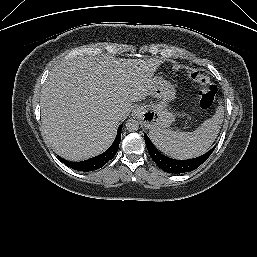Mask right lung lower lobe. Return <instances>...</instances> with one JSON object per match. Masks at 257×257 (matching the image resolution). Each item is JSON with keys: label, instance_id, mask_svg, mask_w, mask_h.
I'll return each instance as SVG.
<instances>
[{"label": "right lung lower lobe", "instance_id": "1", "mask_svg": "<svg viewBox=\"0 0 257 257\" xmlns=\"http://www.w3.org/2000/svg\"><path fill=\"white\" fill-rule=\"evenodd\" d=\"M121 130L122 125L119 126L117 136L113 142V144L102 154L90 158L88 160H84L81 162H69L59 158L65 165L68 167L78 170V171H92L101 168L105 165L109 160H111L118 151L119 143L121 141Z\"/></svg>", "mask_w": 257, "mask_h": 257}]
</instances>
